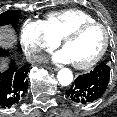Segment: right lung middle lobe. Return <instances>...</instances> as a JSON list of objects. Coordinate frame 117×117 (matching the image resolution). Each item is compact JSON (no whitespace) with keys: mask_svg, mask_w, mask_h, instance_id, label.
Here are the masks:
<instances>
[{"mask_svg":"<svg viewBox=\"0 0 117 117\" xmlns=\"http://www.w3.org/2000/svg\"><path fill=\"white\" fill-rule=\"evenodd\" d=\"M19 17V10H8L3 12L0 14V26L10 24L13 28H16Z\"/></svg>","mask_w":117,"mask_h":117,"instance_id":"1","label":"right lung middle lobe"}]
</instances>
